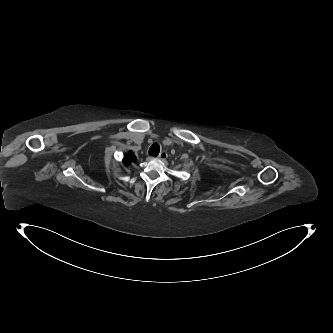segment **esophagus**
Listing matches in <instances>:
<instances>
[{
  "label": "esophagus",
  "instance_id": "34e87169",
  "mask_svg": "<svg viewBox=\"0 0 333 333\" xmlns=\"http://www.w3.org/2000/svg\"><path fill=\"white\" fill-rule=\"evenodd\" d=\"M167 153L165 152V151H162L159 155H158V157L161 159V160H165V159H167Z\"/></svg>",
  "mask_w": 333,
  "mask_h": 333
}]
</instances>
